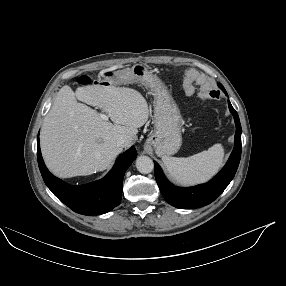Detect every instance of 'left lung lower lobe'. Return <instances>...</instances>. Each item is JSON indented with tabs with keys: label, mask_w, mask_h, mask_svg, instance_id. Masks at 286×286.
Wrapping results in <instances>:
<instances>
[{
	"label": "left lung lower lobe",
	"mask_w": 286,
	"mask_h": 286,
	"mask_svg": "<svg viewBox=\"0 0 286 286\" xmlns=\"http://www.w3.org/2000/svg\"><path fill=\"white\" fill-rule=\"evenodd\" d=\"M223 91L226 93L225 89ZM236 123L235 146L224 168L209 182L194 187L179 188L170 184L159 165L155 164V178L165 200L174 207L182 209L199 208L213 202L233 179L241 157V124L236 110L228 100Z\"/></svg>",
	"instance_id": "obj_1"
}]
</instances>
